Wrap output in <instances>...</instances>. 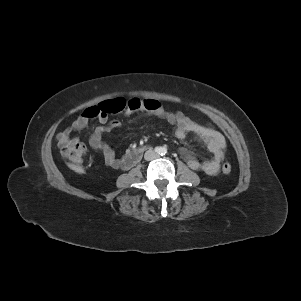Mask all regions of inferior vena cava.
I'll use <instances>...</instances> for the list:
<instances>
[{
  "mask_svg": "<svg viewBox=\"0 0 301 301\" xmlns=\"http://www.w3.org/2000/svg\"><path fill=\"white\" fill-rule=\"evenodd\" d=\"M155 158H157V154L153 150H148L144 154V159L147 161H151Z\"/></svg>",
  "mask_w": 301,
  "mask_h": 301,
  "instance_id": "inferior-vena-cava-1",
  "label": "inferior vena cava"
}]
</instances>
